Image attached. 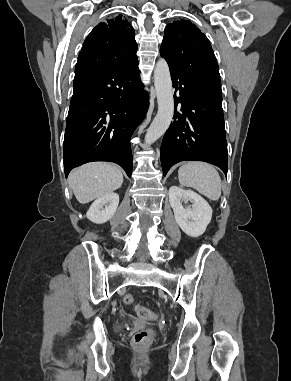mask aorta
Segmentation results:
<instances>
[{"instance_id": "762f6f07", "label": "aorta", "mask_w": 291, "mask_h": 381, "mask_svg": "<svg viewBox=\"0 0 291 381\" xmlns=\"http://www.w3.org/2000/svg\"><path fill=\"white\" fill-rule=\"evenodd\" d=\"M154 85L158 102V112L145 135V143L152 144L168 129L174 115L172 81L168 64L160 58L154 70Z\"/></svg>"}]
</instances>
